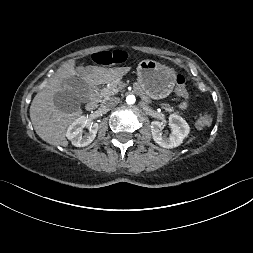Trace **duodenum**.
Segmentation results:
<instances>
[{"label": "duodenum", "mask_w": 253, "mask_h": 253, "mask_svg": "<svg viewBox=\"0 0 253 253\" xmlns=\"http://www.w3.org/2000/svg\"><path fill=\"white\" fill-rule=\"evenodd\" d=\"M90 98L86 104V110L89 112H93L98 108L99 103V92L96 85H91L90 89Z\"/></svg>", "instance_id": "410a0bca"}]
</instances>
